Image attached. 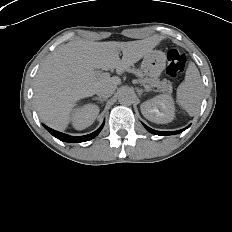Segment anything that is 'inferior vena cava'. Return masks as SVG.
<instances>
[{
    "instance_id": "obj_1",
    "label": "inferior vena cava",
    "mask_w": 232,
    "mask_h": 232,
    "mask_svg": "<svg viewBox=\"0 0 232 232\" xmlns=\"http://www.w3.org/2000/svg\"><path fill=\"white\" fill-rule=\"evenodd\" d=\"M115 89H116L115 82L111 80L103 81L98 87L96 94L100 98H108L114 93Z\"/></svg>"
}]
</instances>
